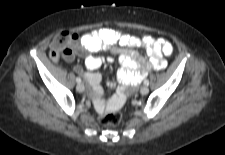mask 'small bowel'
<instances>
[{
	"mask_svg": "<svg viewBox=\"0 0 225 155\" xmlns=\"http://www.w3.org/2000/svg\"><path fill=\"white\" fill-rule=\"evenodd\" d=\"M69 45L70 54L64 57L67 61L72 60L73 53L85 55V65L89 71L83 72L79 66L76 67V71L83 74L88 85L93 88L92 96L99 113L106 110L109 113L121 111L126 106L129 87L138 84L150 69H164L167 65L164 57L170 56L173 52L172 44L165 38L145 36L138 39L110 28H101L81 35L73 33ZM134 46L144 49L149 55V61L146 62L136 50L132 49ZM103 49L110 51L108 61H113L114 57H118L121 65L117 72L120 86L116 90V95L106 102L100 87L101 75L95 72L104 59L93 55Z\"/></svg>",
	"mask_w": 225,
	"mask_h": 155,
	"instance_id": "obj_1",
	"label": "small bowel"
}]
</instances>
